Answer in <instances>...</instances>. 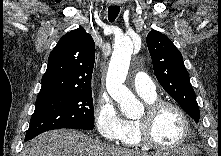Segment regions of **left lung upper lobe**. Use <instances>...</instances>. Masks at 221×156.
Here are the masks:
<instances>
[{"mask_svg": "<svg viewBox=\"0 0 221 156\" xmlns=\"http://www.w3.org/2000/svg\"><path fill=\"white\" fill-rule=\"evenodd\" d=\"M146 42L158 82L198 123L200 110L181 52L166 35L156 30L148 33Z\"/></svg>", "mask_w": 221, "mask_h": 156, "instance_id": "1", "label": "left lung upper lobe"}]
</instances>
